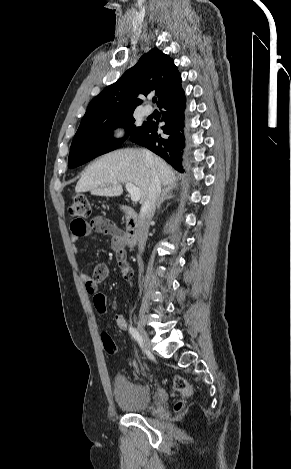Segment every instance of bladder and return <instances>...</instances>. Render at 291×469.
I'll return each mask as SVG.
<instances>
[{"instance_id":"bladder-1","label":"bladder","mask_w":291,"mask_h":469,"mask_svg":"<svg viewBox=\"0 0 291 469\" xmlns=\"http://www.w3.org/2000/svg\"><path fill=\"white\" fill-rule=\"evenodd\" d=\"M114 400L120 409L136 413L150 406L152 393L147 386L118 374L114 382Z\"/></svg>"}]
</instances>
